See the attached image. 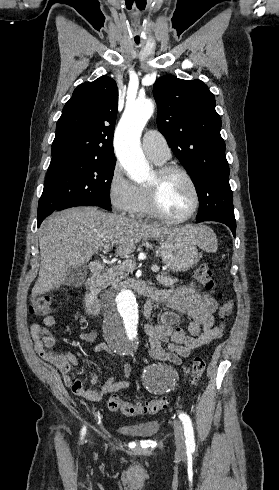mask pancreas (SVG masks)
<instances>
[{
  "label": "pancreas",
  "mask_w": 279,
  "mask_h": 490,
  "mask_svg": "<svg viewBox=\"0 0 279 490\" xmlns=\"http://www.w3.org/2000/svg\"><path fill=\"white\" fill-rule=\"evenodd\" d=\"M135 262H132V266H126V264H121V266H113V268H108L100 278H98L97 286L99 288H108V286H114L117 282H121L125 276H128L130 272H134ZM158 284L165 286V288H174V284L178 282L177 278H172L168 276V272H162L156 276Z\"/></svg>",
  "instance_id": "1"
}]
</instances>
